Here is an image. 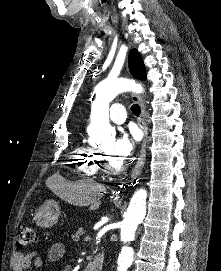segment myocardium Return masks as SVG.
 <instances>
[{
    "mask_svg": "<svg viewBox=\"0 0 221 271\" xmlns=\"http://www.w3.org/2000/svg\"><path fill=\"white\" fill-rule=\"evenodd\" d=\"M131 158H119L117 161L114 158H105L101 162L104 172H109L112 175H121L122 171H128V164L131 163ZM106 178L109 176L107 173L104 175Z\"/></svg>",
    "mask_w": 221,
    "mask_h": 271,
    "instance_id": "f54148a6",
    "label": "myocardium"
}]
</instances>
